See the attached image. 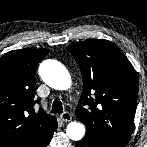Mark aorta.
I'll use <instances>...</instances> for the list:
<instances>
[{"mask_svg": "<svg viewBox=\"0 0 147 147\" xmlns=\"http://www.w3.org/2000/svg\"><path fill=\"white\" fill-rule=\"evenodd\" d=\"M42 80L51 88L67 90L71 86V77L68 70L55 60L43 61L39 67ZM67 136L79 141L85 135V126L80 122H70L66 128Z\"/></svg>", "mask_w": 147, "mask_h": 147, "instance_id": "762f6f07", "label": "aorta"}]
</instances>
